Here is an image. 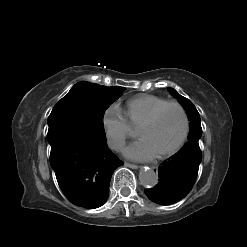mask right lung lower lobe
Masks as SVG:
<instances>
[{"instance_id":"right-lung-lower-lobe-1","label":"right lung lower lobe","mask_w":247,"mask_h":247,"mask_svg":"<svg viewBox=\"0 0 247 247\" xmlns=\"http://www.w3.org/2000/svg\"><path fill=\"white\" fill-rule=\"evenodd\" d=\"M47 140L51 167L67 199L86 209L102 206L114 170L123 165L106 141L75 123L49 125Z\"/></svg>"}]
</instances>
